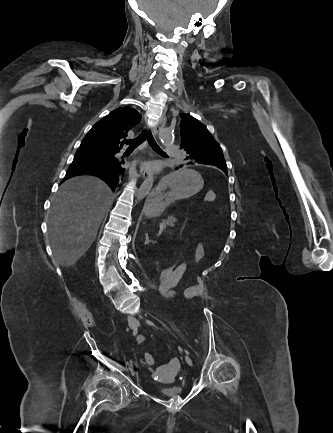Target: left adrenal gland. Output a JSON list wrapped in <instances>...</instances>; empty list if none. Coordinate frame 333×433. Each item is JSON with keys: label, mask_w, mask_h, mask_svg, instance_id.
I'll use <instances>...</instances> for the list:
<instances>
[{"label": "left adrenal gland", "mask_w": 333, "mask_h": 433, "mask_svg": "<svg viewBox=\"0 0 333 433\" xmlns=\"http://www.w3.org/2000/svg\"><path fill=\"white\" fill-rule=\"evenodd\" d=\"M145 238H146V239H145V243H144L145 245H147V244H149V243H155V241L149 239L148 234H145Z\"/></svg>", "instance_id": "a2214340"}]
</instances>
